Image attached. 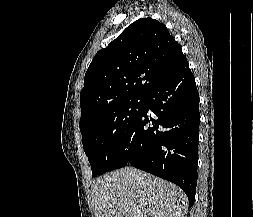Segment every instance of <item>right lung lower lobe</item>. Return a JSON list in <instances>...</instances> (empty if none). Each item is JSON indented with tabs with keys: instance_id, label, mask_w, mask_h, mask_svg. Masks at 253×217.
Listing matches in <instances>:
<instances>
[{
	"instance_id": "1",
	"label": "right lung lower lobe",
	"mask_w": 253,
	"mask_h": 217,
	"mask_svg": "<svg viewBox=\"0 0 253 217\" xmlns=\"http://www.w3.org/2000/svg\"><path fill=\"white\" fill-rule=\"evenodd\" d=\"M152 110L156 119L148 116ZM199 94L185 60L145 96V108L115 155L111 170L126 164L180 186L194 203L197 184Z\"/></svg>"
}]
</instances>
